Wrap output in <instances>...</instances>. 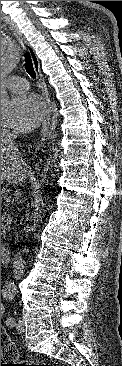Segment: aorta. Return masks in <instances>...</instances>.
Segmentation results:
<instances>
[{"label": "aorta", "mask_w": 122, "mask_h": 366, "mask_svg": "<svg viewBox=\"0 0 122 366\" xmlns=\"http://www.w3.org/2000/svg\"><path fill=\"white\" fill-rule=\"evenodd\" d=\"M20 62L21 56L16 47L7 41L1 43V114H5L10 105L6 80Z\"/></svg>", "instance_id": "aorta-1"}]
</instances>
